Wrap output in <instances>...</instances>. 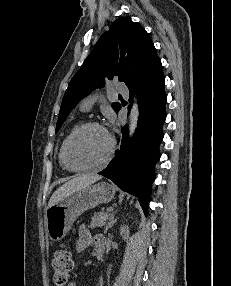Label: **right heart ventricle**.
I'll list each match as a JSON object with an SVG mask.
<instances>
[{
    "label": "right heart ventricle",
    "mask_w": 231,
    "mask_h": 286,
    "mask_svg": "<svg viewBox=\"0 0 231 286\" xmlns=\"http://www.w3.org/2000/svg\"><path fill=\"white\" fill-rule=\"evenodd\" d=\"M78 125H74L71 129V131L77 127ZM68 136V135H67ZM67 136L65 137V139L67 138ZM65 139L63 140L61 146H60V149H59V153H58V160H59V163H60V166L63 168V169H66L64 164H63V161H62V151H63V145H64V142H65Z\"/></svg>",
    "instance_id": "1"
}]
</instances>
